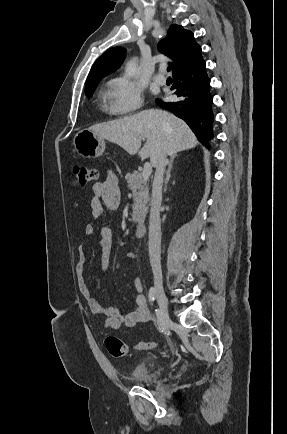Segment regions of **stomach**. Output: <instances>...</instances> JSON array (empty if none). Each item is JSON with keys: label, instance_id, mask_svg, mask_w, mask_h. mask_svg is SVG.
Wrapping results in <instances>:
<instances>
[{"label": "stomach", "instance_id": "obj_1", "mask_svg": "<svg viewBox=\"0 0 287 434\" xmlns=\"http://www.w3.org/2000/svg\"><path fill=\"white\" fill-rule=\"evenodd\" d=\"M77 153L85 158H97L104 153V138L89 129L80 130L73 139Z\"/></svg>", "mask_w": 287, "mask_h": 434}]
</instances>
